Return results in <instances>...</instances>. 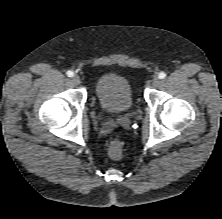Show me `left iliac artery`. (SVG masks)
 Returning a JSON list of instances; mask_svg holds the SVG:
<instances>
[{"instance_id": "obj_1", "label": "left iliac artery", "mask_w": 222, "mask_h": 219, "mask_svg": "<svg viewBox=\"0 0 222 219\" xmlns=\"http://www.w3.org/2000/svg\"><path fill=\"white\" fill-rule=\"evenodd\" d=\"M158 77H159L160 79H164V78L166 77V74H165L164 72H160L159 75H158Z\"/></svg>"}]
</instances>
